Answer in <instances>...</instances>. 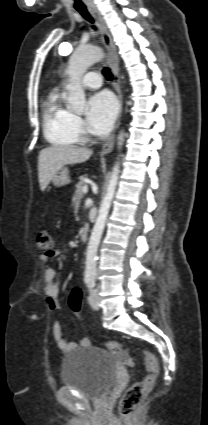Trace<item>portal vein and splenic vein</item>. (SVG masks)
<instances>
[{
	"mask_svg": "<svg viewBox=\"0 0 208 425\" xmlns=\"http://www.w3.org/2000/svg\"><path fill=\"white\" fill-rule=\"evenodd\" d=\"M83 192H84V193H87V192H88V187H87V186H84V187H83Z\"/></svg>",
	"mask_w": 208,
	"mask_h": 425,
	"instance_id": "1",
	"label": "portal vein and splenic vein"
}]
</instances>
